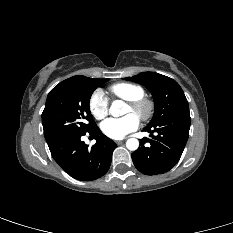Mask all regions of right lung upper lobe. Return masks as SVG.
Here are the masks:
<instances>
[{"label":"right lung upper lobe","mask_w":233,"mask_h":233,"mask_svg":"<svg viewBox=\"0 0 233 233\" xmlns=\"http://www.w3.org/2000/svg\"><path fill=\"white\" fill-rule=\"evenodd\" d=\"M80 77H81V76H79V75H78V76H74V77H71V78H69V79H66V80L62 81V82L59 83V84L71 83V82H74V81L80 79Z\"/></svg>","instance_id":"obj_1"}]
</instances>
